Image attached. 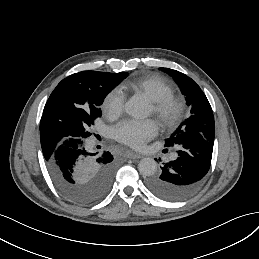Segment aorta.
I'll use <instances>...</instances> for the list:
<instances>
[{
	"instance_id": "obj_1",
	"label": "aorta",
	"mask_w": 259,
	"mask_h": 259,
	"mask_svg": "<svg viewBox=\"0 0 259 259\" xmlns=\"http://www.w3.org/2000/svg\"><path fill=\"white\" fill-rule=\"evenodd\" d=\"M125 112L135 118L144 117L146 106L142 100L132 97L125 103ZM138 170L142 176H152L157 171V162L153 158H143L138 164Z\"/></svg>"
}]
</instances>
